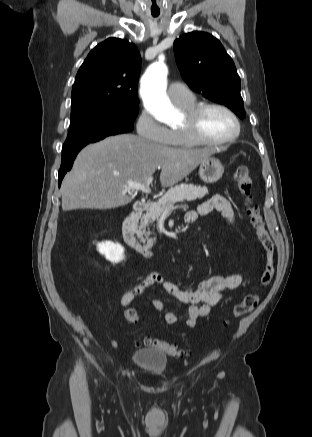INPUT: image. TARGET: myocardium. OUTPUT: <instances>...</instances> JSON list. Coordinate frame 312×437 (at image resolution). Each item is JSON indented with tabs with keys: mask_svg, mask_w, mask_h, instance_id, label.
<instances>
[{
	"mask_svg": "<svg viewBox=\"0 0 312 437\" xmlns=\"http://www.w3.org/2000/svg\"><path fill=\"white\" fill-rule=\"evenodd\" d=\"M210 108L220 109L225 113H227L232 118L235 124V129L230 136L220 140H211L205 138L202 135L200 131L199 121L201 116L204 114V112ZM184 113H185V122L180 129L185 133V135L189 138V140L195 143L196 145H205V146L226 145L235 141L240 135L241 123L237 114L228 106L222 103H217V102L200 103L190 108L189 110L184 111Z\"/></svg>",
	"mask_w": 312,
	"mask_h": 437,
	"instance_id": "f54148a6",
	"label": "myocardium"
}]
</instances>
